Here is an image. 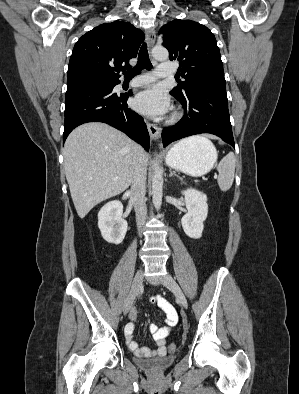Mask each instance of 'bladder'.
I'll return each instance as SVG.
<instances>
[{
	"label": "bladder",
	"instance_id": "1",
	"mask_svg": "<svg viewBox=\"0 0 299 394\" xmlns=\"http://www.w3.org/2000/svg\"><path fill=\"white\" fill-rule=\"evenodd\" d=\"M176 360L175 355L160 356L151 359H136L139 367L150 372H162L170 367Z\"/></svg>",
	"mask_w": 299,
	"mask_h": 394
}]
</instances>
